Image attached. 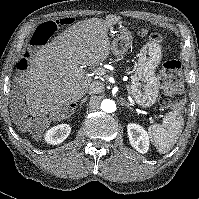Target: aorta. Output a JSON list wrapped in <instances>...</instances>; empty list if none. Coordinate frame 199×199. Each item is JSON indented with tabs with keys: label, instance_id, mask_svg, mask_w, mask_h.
Wrapping results in <instances>:
<instances>
[{
	"label": "aorta",
	"instance_id": "aorta-1",
	"mask_svg": "<svg viewBox=\"0 0 199 199\" xmlns=\"http://www.w3.org/2000/svg\"><path fill=\"white\" fill-rule=\"evenodd\" d=\"M101 109L102 111H105L107 113H112L116 110V104L113 100L110 99H104L101 102Z\"/></svg>",
	"mask_w": 199,
	"mask_h": 199
}]
</instances>
